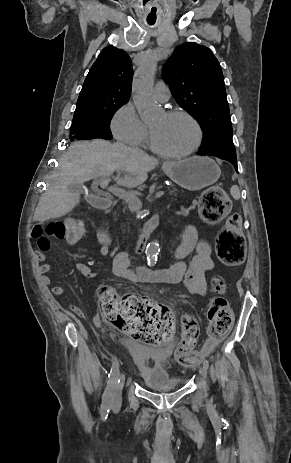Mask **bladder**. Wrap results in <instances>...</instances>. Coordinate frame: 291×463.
<instances>
[{"label": "bladder", "instance_id": "obj_1", "mask_svg": "<svg viewBox=\"0 0 291 463\" xmlns=\"http://www.w3.org/2000/svg\"><path fill=\"white\" fill-rule=\"evenodd\" d=\"M124 347L129 356L141 364L138 375L141 382L149 389L179 388L183 386L184 379L170 374L168 370V356H160L150 346L136 339L123 340Z\"/></svg>", "mask_w": 291, "mask_h": 463}]
</instances>
